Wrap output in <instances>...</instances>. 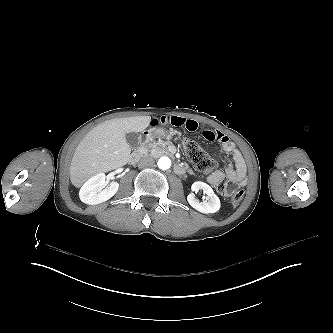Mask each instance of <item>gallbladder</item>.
Masks as SVG:
<instances>
[{
  "label": "gallbladder",
  "mask_w": 333,
  "mask_h": 333,
  "mask_svg": "<svg viewBox=\"0 0 333 333\" xmlns=\"http://www.w3.org/2000/svg\"><path fill=\"white\" fill-rule=\"evenodd\" d=\"M126 140L129 143L130 147L132 149L137 148L139 141L141 140V137L137 133H128L126 135Z\"/></svg>",
  "instance_id": "bac80fb5"
}]
</instances>
